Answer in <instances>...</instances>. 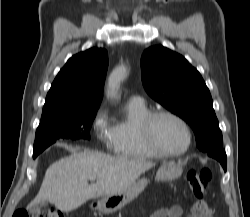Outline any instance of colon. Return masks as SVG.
<instances>
[{
	"instance_id": "colon-1",
	"label": "colon",
	"mask_w": 250,
	"mask_h": 217,
	"mask_svg": "<svg viewBox=\"0 0 250 217\" xmlns=\"http://www.w3.org/2000/svg\"><path fill=\"white\" fill-rule=\"evenodd\" d=\"M212 179V171L206 167L200 170L190 171L186 175L187 186L191 193L198 198L194 203L196 211L205 217H211L212 209L208 207L201 198L209 189ZM13 217H65V215L62 211L56 208L40 211L33 215H30L25 209H19L14 213Z\"/></svg>"
}]
</instances>
